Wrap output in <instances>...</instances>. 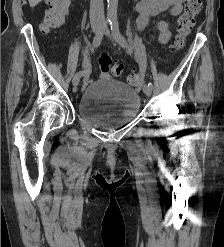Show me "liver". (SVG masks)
<instances>
[{
  "label": "liver",
  "mask_w": 224,
  "mask_h": 247,
  "mask_svg": "<svg viewBox=\"0 0 224 247\" xmlns=\"http://www.w3.org/2000/svg\"><path fill=\"white\" fill-rule=\"evenodd\" d=\"M30 8H35L39 2H42V0H28Z\"/></svg>",
  "instance_id": "obj_1"
}]
</instances>
